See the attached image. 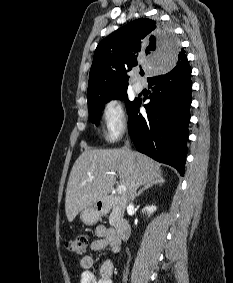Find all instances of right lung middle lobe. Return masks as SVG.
<instances>
[{
	"instance_id": "1",
	"label": "right lung middle lobe",
	"mask_w": 233,
	"mask_h": 283,
	"mask_svg": "<svg viewBox=\"0 0 233 283\" xmlns=\"http://www.w3.org/2000/svg\"><path fill=\"white\" fill-rule=\"evenodd\" d=\"M126 98H127V91H122V92H119V93H116V94L110 96L109 98H107L106 100H104V101H102L98 104L88 106L91 122L98 125V122L100 120L101 113H102V110L104 108L105 103L109 102L112 99L125 100ZM135 103H136V100H134L133 102L126 100V107H127L128 113L130 112V110L132 109V107L134 106Z\"/></svg>"
}]
</instances>
